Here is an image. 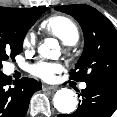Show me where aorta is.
Instances as JSON below:
<instances>
[{
	"label": "aorta",
	"mask_w": 117,
	"mask_h": 117,
	"mask_svg": "<svg viewBox=\"0 0 117 117\" xmlns=\"http://www.w3.org/2000/svg\"><path fill=\"white\" fill-rule=\"evenodd\" d=\"M38 52L42 57L50 59H58L60 50L55 39L47 38L45 42L39 46ZM54 107L63 114H70L75 111L78 104L76 94L68 88L58 90L53 98Z\"/></svg>",
	"instance_id": "762f6f07"
}]
</instances>
